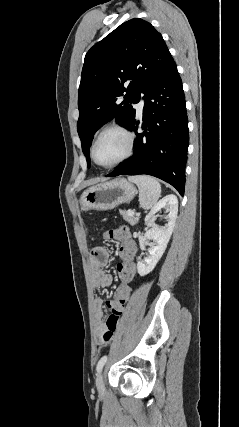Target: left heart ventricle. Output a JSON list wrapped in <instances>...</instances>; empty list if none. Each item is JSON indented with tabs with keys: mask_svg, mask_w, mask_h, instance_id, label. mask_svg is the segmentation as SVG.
Returning a JSON list of instances; mask_svg holds the SVG:
<instances>
[{
	"mask_svg": "<svg viewBox=\"0 0 239 427\" xmlns=\"http://www.w3.org/2000/svg\"><path fill=\"white\" fill-rule=\"evenodd\" d=\"M126 149V137L120 132L110 131L99 139L95 147V158L100 164H111L120 159Z\"/></svg>",
	"mask_w": 239,
	"mask_h": 427,
	"instance_id": "1",
	"label": "left heart ventricle"
}]
</instances>
